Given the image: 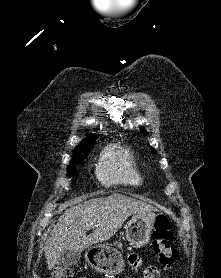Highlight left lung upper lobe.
Returning a JSON list of instances; mask_svg holds the SVG:
<instances>
[{
	"instance_id": "1",
	"label": "left lung upper lobe",
	"mask_w": 221,
	"mask_h": 278,
	"mask_svg": "<svg viewBox=\"0 0 221 278\" xmlns=\"http://www.w3.org/2000/svg\"><path fill=\"white\" fill-rule=\"evenodd\" d=\"M140 131H141L144 135H147V131H146V130L140 129Z\"/></svg>"
}]
</instances>
